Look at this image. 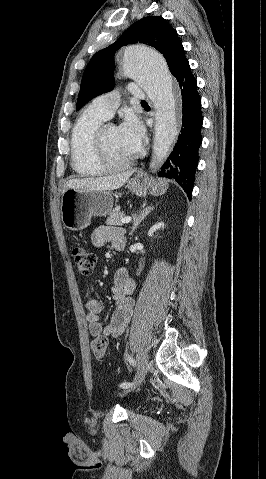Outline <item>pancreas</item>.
Segmentation results:
<instances>
[{
    "label": "pancreas",
    "instance_id": "cf45deb5",
    "mask_svg": "<svg viewBox=\"0 0 266 479\" xmlns=\"http://www.w3.org/2000/svg\"><path fill=\"white\" fill-rule=\"evenodd\" d=\"M124 213L120 212L118 209H114L112 212H110L106 224L109 226L113 225H121V219L124 218Z\"/></svg>",
    "mask_w": 266,
    "mask_h": 479
}]
</instances>
